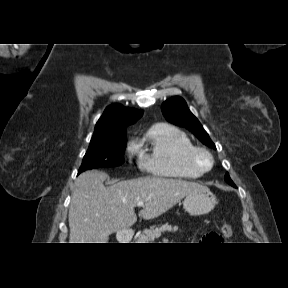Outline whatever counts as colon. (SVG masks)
I'll use <instances>...</instances> for the list:
<instances>
[{"mask_svg":"<svg viewBox=\"0 0 288 288\" xmlns=\"http://www.w3.org/2000/svg\"><path fill=\"white\" fill-rule=\"evenodd\" d=\"M232 234V227L225 223L221 226L219 233H213L206 237L208 242H221Z\"/></svg>","mask_w":288,"mask_h":288,"instance_id":"1","label":"colon"}]
</instances>
